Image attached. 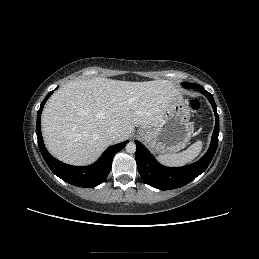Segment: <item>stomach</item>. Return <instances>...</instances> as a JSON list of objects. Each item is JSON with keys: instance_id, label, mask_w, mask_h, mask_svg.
I'll return each instance as SVG.
<instances>
[{"instance_id": "0dacf381", "label": "stomach", "mask_w": 259, "mask_h": 259, "mask_svg": "<svg viewBox=\"0 0 259 259\" xmlns=\"http://www.w3.org/2000/svg\"><path fill=\"white\" fill-rule=\"evenodd\" d=\"M190 113L179 93L169 102L160 123L154 127H143L138 136L156 154H174L186 147L193 128Z\"/></svg>"}]
</instances>
